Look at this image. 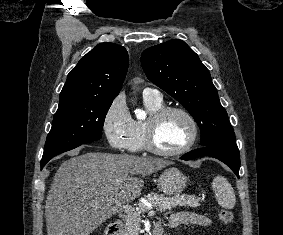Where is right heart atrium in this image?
<instances>
[{
  "instance_id": "obj_1",
  "label": "right heart atrium",
  "mask_w": 283,
  "mask_h": 235,
  "mask_svg": "<svg viewBox=\"0 0 283 235\" xmlns=\"http://www.w3.org/2000/svg\"><path fill=\"white\" fill-rule=\"evenodd\" d=\"M102 126L105 136L113 148L118 150L128 148L133 119L122 96H117L110 103L104 115Z\"/></svg>"
}]
</instances>
